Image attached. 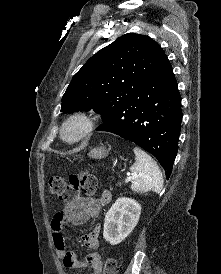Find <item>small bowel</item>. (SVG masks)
<instances>
[{
    "label": "small bowel",
    "instance_id": "small-bowel-1",
    "mask_svg": "<svg viewBox=\"0 0 221 274\" xmlns=\"http://www.w3.org/2000/svg\"><path fill=\"white\" fill-rule=\"evenodd\" d=\"M112 199L110 190H103L100 198L80 197L68 203L61 211L57 212L51 221L53 243L57 256L62 260L63 265L69 269H89V274H100L102 271L101 255L95 252L99 247V235L101 225L97 224L93 230L82 236L84 246L93 250L86 257V261L79 260L77 254L66 249L64 225H81L92 218L100 215L102 207Z\"/></svg>",
    "mask_w": 221,
    "mask_h": 274
}]
</instances>
